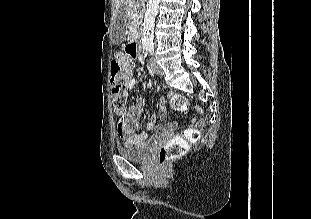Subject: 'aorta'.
Wrapping results in <instances>:
<instances>
[{"label": "aorta", "instance_id": "aorta-1", "mask_svg": "<svg viewBox=\"0 0 311 219\" xmlns=\"http://www.w3.org/2000/svg\"><path fill=\"white\" fill-rule=\"evenodd\" d=\"M160 0H148L147 9L145 12L144 23H143V38L142 45L143 49L153 48V29L155 24V17L158 12Z\"/></svg>", "mask_w": 311, "mask_h": 219}]
</instances>
